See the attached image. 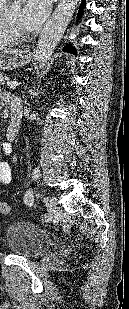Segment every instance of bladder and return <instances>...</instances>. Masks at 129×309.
Wrapping results in <instances>:
<instances>
[{
    "instance_id": "31cf9c89",
    "label": "bladder",
    "mask_w": 129,
    "mask_h": 309,
    "mask_svg": "<svg viewBox=\"0 0 129 309\" xmlns=\"http://www.w3.org/2000/svg\"><path fill=\"white\" fill-rule=\"evenodd\" d=\"M5 242L14 254L31 257L49 247L52 240L37 225L26 221H17L7 227Z\"/></svg>"
}]
</instances>
